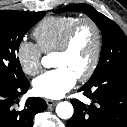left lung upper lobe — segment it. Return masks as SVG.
Instances as JSON below:
<instances>
[{
  "label": "left lung upper lobe",
  "mask_w": 127,
  "mask_h": 127,
  "mask_svg": "<svg viewBox=\"0 0 127 127\" xmlns=\"http://www.w3.org/2000/svg\"><path fill=\"white\" fill-rule=\"evenodd\" d=\"M69 11L87 14L102 31L103 44L100 60L89 80L115 68H127V37L115 22L87 4L68 6L54 12L62 13Z\"/></svg>",
  "instance_id": "left-lung-upper-lobe-1"
}]
</instances>
